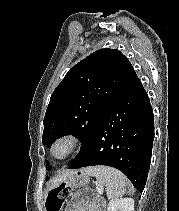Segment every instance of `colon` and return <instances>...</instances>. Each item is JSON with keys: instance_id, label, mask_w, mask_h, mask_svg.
Wrapping results in <instances>:
<instances>
[{"instance_id": "colon-1", "label": "colon", "mask_w": 179, "mask_h": 211, "mask_svg": "<svg viewBox=\"0 0 179 211\" xmlns=\"http://www.w3.org/2000/svg\"><path fill=\"white\" fill-rule=\"evenodd\" d=\"M70 190L66 186H60L51 190L46 199V208L48 211H60Z\"/></svg>"}]
</instances>
